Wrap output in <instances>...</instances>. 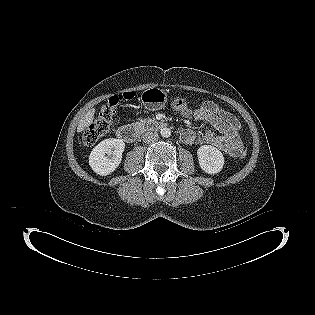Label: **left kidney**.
Instances as JSON below:
<instances>
[{"instance_id": "obj_1", "label": "left kidney", "mask_w": 315, "mask_h": 315, "mask_svg": "<svg viewBox=\"0 0 315 315\" xmlns=\"http://www.w3.org/2000/svg\"><path fill=\"white\" fill-rule=\"evenodd\" d=\"M200 168L207 174L219 173L224 166V157L221 151L211 145L201 146L197 150Z\"/></svg>"}]
</instances>
